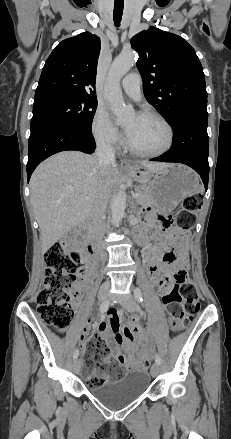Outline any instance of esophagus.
Returning <instances> with one entry per match:
<instances>
[{
	"mask_svg": "<svg viewBox=\"0 0 231 439\" xmlns=\"http://www.w3.org/2000/svg\"><path fill=\"white\" fill-rule=\"evenodd\" d=\"M132 166H133V164L130 160L122 159L120 162V167L122 169H128V168H131Z\"/></svg>",
	"mask_w": 231,
	"mask_h": 439,
	"instance_id": "esophagus-1",
	"label": "esophagus"
}]
</instances>
